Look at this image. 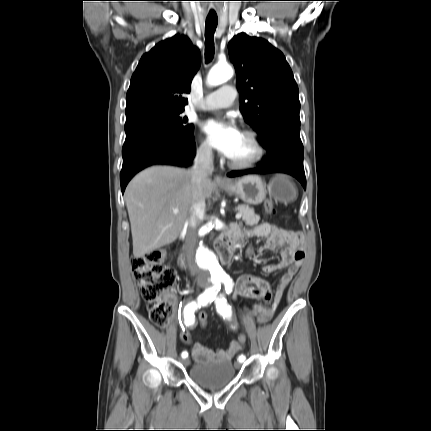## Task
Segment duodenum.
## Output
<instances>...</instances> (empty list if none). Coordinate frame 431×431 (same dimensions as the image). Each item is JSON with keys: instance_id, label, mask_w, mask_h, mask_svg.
<instances>
[{"instance_id": "duodenum-1", "label": "duodenum", "mask_w": 431, "mask_h": 431, "mask_svg": "<svg viewBox=\"0 0 431 431\" xmlns=\"http://www.w3.org/2000/svg\"><path fill=\"white\" fill-rule=\"evenodd\" d=\"M239 233L235 230H231L225 237L218 242V251L222 262L229 263L233 257ZM180 264L184 265V259L179 260Z\"/></svg>"}]
</instances>
